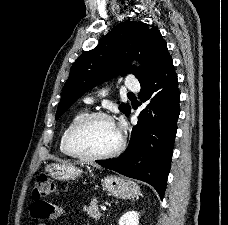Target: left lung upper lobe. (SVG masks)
<instances>
[{
	"mask_svg": "<svg viewBox=\"0 0 228 225\" xmlns=\"http://www.w3.org/2000/svg\"><path fill=\"white\" fill-rule=\"evenodd\" d=\"M170 55L166 42L157 27L146 23H119L93 50L83 53L72 65L62 90L56 112L58 119L87 90L115 76L132 72L140 83L151 78ZM131 59L144 64L140 69L130 65ZM119 109L126 115L130 106L122 103Z\"/></svg>",
	"mask_w": 228,
	"mask_h": 225,
	"instance_id": "left-lung-upper-lobe-1",
	"label": "left lung upper lobe"
}]
</instances>
